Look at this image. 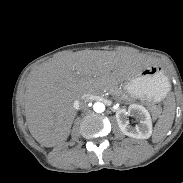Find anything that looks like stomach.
Returning <instances> with one entry per match:
<instances>
[{
    "instance_id": "0dacf381",
    "label": "stomach",
    "mask_w": 183,
    "mask_h": 183,
    "mask_svg": "<svg viewBox=\"0 0 183 183\" xmlns=\"http://www.w3.org/2000/svg\"><path fill=\"white\" fill-rule=\"evenodd\" d=\"M169 80L158 67H146L123 81V89L130 95L148 102H160L167 93Z\"/></svg>"
}]
</instances>
